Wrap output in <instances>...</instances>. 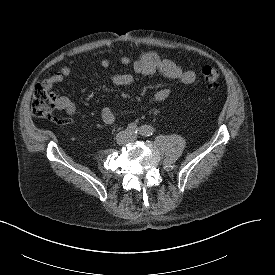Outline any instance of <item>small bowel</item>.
Returning <instances> with one entry per match:
<instances>
[{"mask_svg":"<svg viewBox=\"0 0 275 275\" xmlns=\"http://www.w3.org/2000/svg\"><path fill=\"white\" fill-rule=\"evenodd\" d=\"M119 62L124 66L132 64L133 71L142 76L160 74L169 79L179 80L184 85H190L196 79L193 71L184 69L173 61L162 59L155 52H145L133 62L128 56H122ZM100 65L102 68L107 69L110 66V61L104 58L100 61ZM71 74L72 70L70 67H63L46 79L44 84L46 87L51 88L69 78ZM110 79L114 85L121 87L129 86L134 82V76L129 73H113ZM170 93L171 89L169 87H161L154 93V99L163 101L169 97ZM57 108L68 115H74L76 112L75 105L66 97L58 99ZM101 119L105 124L111 125L115 122V115L109 107L104 106L101 109Z\"/></svg>","mask_w":275,"mask_h":275,"instance_id":"c3829d8e","label":"small bowel"}]
</instances>
